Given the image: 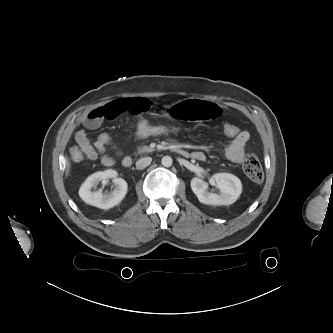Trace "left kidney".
<instances>
[{"label":"left kidney","mask_w":333,"mask_h":333,"mask_svg":"<svg viewBox=\"0 0 333 333\" xmlns=\"http://www.w3.org/2000/svg\"><path fill=\"white\" fill-rule=\"evenodd\" d=\"M218 193L208 192V183L200 178L191 180V189L198 200L206 205H230L233 204L242 192V184L238 177L229 173H217L213 175Z\"/></svg>","instance_id":"obj_1"}]
</instances>
